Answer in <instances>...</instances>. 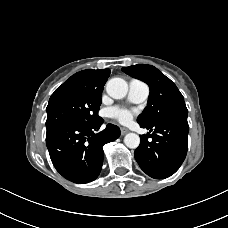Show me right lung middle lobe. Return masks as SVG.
Listing matches in <instances>:
<instances>
[{"label":"right lung middle lobe","instance_id":"obj_1","mask_svg":"<svg viewBox=\"0 0 228 228\" xmlns=\"http://www.w3.org/2000/svg\"><path fill=\"white\" fill-rule=\"evenodd\" d=\"M102 91H89L80 85L66 81L49 99L47 131L65 123H91L99 119Z\"/></svg>","mask_w":228,"mask_h":228}]
</instances>
